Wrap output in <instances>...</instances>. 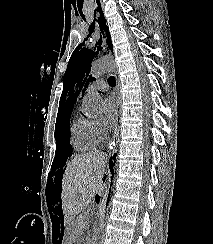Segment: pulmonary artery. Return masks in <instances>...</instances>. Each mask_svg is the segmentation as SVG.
Listing matches in <instances>:
<instances>
[{
    "label": "pulmonary artery",
    "instance_id": "pulmonary-artery-1",
    "mask_svg": "<svg viewBox=\"0 0 213 244\" xmlns=\"http://www.w3.org/2000/svg\"><path fill=\"white\" fill-rule=\"evenodd\" d=\"M92 88L101 92H104L107 90L108 85L103 80H97L92 83Z\"/></svg>",
    "mask_w": 213,
    "mask_h": 244
}]
</instances>
